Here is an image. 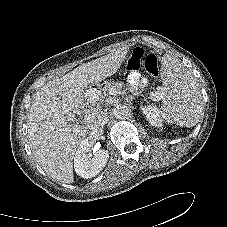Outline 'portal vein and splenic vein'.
<instances>
[{
  "label": "portal vein and splenic vein",
  "instance_id": "18ae733b",
  "mask_svg": "<svg viewBox=\"0 0 227 227\" xmlns=\"http://www.w3.org/2000/svg\"><path fill=\"white\" fill-rule=\"evenodd\" d=\"M116 91L115 90H111V95H113L114 93H115ZM89 95H90V93H89ZM152 98L154 99V100H156V99H158L159 97L156 95V93L155 92H152ZM98 98L95 96V95H93V94H91L90 95V98H89V100L90 101H96ZM87 116V119H90L91 118V114H88V115H86Z\"/></svg>",
  "mask_w": 227,
  "mask_h": 227
}]
</instances>
